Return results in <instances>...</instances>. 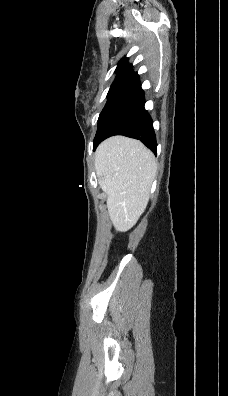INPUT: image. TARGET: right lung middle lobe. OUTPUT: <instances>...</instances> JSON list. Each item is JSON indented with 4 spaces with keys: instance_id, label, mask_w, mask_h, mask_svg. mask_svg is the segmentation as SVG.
<instances>
[{
    "instance_id": "1",
    "label": "right lung middle lobe",
    "mask_w": 228,
    "mask_h": 396,
    "mask_svg": "<svg viewBox=\"0 0 228 396\" xmlns=\"http://www.w3.org/2000/svg\"><path fill=\"white\" fill-rule=\"evenodd\" d=\"M124 87L121 86H111L110 90L108 92V100L102 110V112L100 113L99 118L102 116V114L104 113V111L108 108V106L112 103V101L124 90Z\"/></svg>"
}]
</instances>
